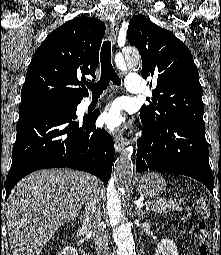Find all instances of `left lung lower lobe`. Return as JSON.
Segmentation results:
<instances>
[{
    "mask_svg": "<svg viewBox=\"0 0 221 255\" xmlns=\"http://www.w3.org/2000/svg\"><path fill=\"white\" fill-rule=\"evenodd\" d=\"M141 121L143 131L137 141L136 171L186 175L202 182L213 193L205 125L180 117L160 125L148 124L142 117Z\"/></svg>",
    "mask_w": 221,
    "mask_h": 255,
    "instance_id": "obj_1",
    "label": "left lung lower lobe"
}]
</instances>
